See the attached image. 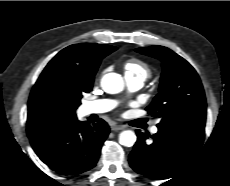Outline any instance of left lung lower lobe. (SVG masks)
<instances>
[{
    "label": "left lung lower lobe",
    "mask_w": 230,
    "mask_h": 186,
    "mask_svg": "<svg viewBox=\"0 0 230 186\" xmlns=\"http://www.w3.org/2000/svg\"><path fill=\"white\" fill-rule=\"evenodd\" d=\"M201 127H158L152 136L137 130V142L129 155L134 171L153 179L173 177L196 155L204 140ZM148 137L151 141H147Z\"/></svg>",
    "instance_id": "obj_1"
}]
</instances>
